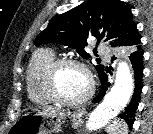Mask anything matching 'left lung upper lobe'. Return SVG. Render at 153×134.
Here are the masks:
<instances>
[{
    "label": "left lung upper lobe",
    "instance_id": "left-lung-upper-lobe-1",
    "mask_svg": "<svg viewBox=\"0 0 153 134\" xmlns=\"http://www.w3.org/2000/svg\"><path fill=\"white\" fill-rule=\"evenodd\" d=\"M105 36V41L117 38L112 46H134L140 42L131 9L120 0H88L56 15L37 36L35 45L59 43L76 49L83 58H89L83 50L87 38L96 37L98 44ZM95 68L99 76L104 71L103 65Z\"/></svg>",
    "mask_w": 153,
    "mask_h": 134
}]
</instances>
